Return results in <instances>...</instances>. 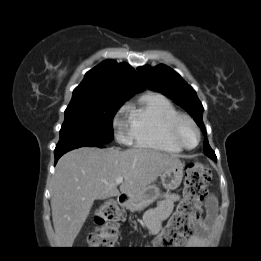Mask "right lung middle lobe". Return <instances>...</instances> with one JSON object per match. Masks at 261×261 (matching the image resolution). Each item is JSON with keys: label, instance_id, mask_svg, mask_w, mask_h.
<instances>
[{"label": "right lung middle lobe", "instance_id": "right-lung-middle-lobe-1", "mask_svg": "<svg viewBox=\"0 0 261 261\" xmlns=\"http://www.w3.org/2000/svg\"><path fill=\"white\" fill-rule=\"evenodd\" d=\"M126 100L116 96L72 99L65 110V120L56 148L111 142L113 117Z\"/></svg>", "mask_w": 261, "mask_h": 261}]
</instances>
